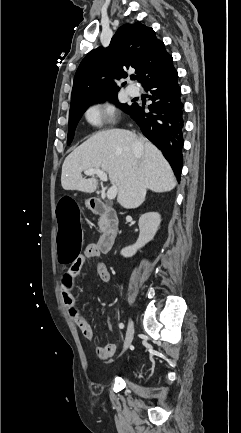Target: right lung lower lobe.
Instances as JSON below:
<instances>
[{
	"mask_svg": "<svg viewBox=\"0 0 241 433\" xmlns=\"http://www.w3.org/2000/svg\"><path fill=\"white\" fill-rule=\"evenodd\" d=\"M178 73L171 62L159 75L150 78L142 86L150 92L152 104L145 112L144 106L132 104L127 114L138 124L143 134L158 147L180 180L184 130V104Z\"/></svg>",
	"mask_w": 241,
	"mask_h": 433,
	"instance_id": "right-lung-lower-lobe-1",
	"label": "right lung lower lobe"
}]
</instances>
